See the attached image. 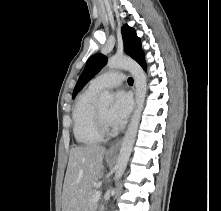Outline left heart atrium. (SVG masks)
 <instances>
[{
	"label": "left heart atrium",
	"instance_id": "39dd6f15",
	"mask_svg": "<svg viewBox=\"0 0 221 211\" xmlns=\"http://www.w3.org/2000/svg\"><path fill=\"white\" fill-rule=\"evenodd\" d=\"M132 110L131 96L123 91H117L114 96V102L108 113V122L114 128L122 127Z\"/></svg>",
	"mask_w": 221,
	"mask_h": 211
}]
</instances>
